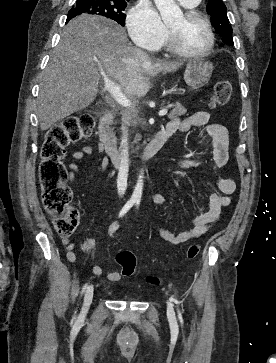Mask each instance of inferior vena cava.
Returning <instances> with one entry per match:
<instances>
[{
    "label": "inferior vena cava",
    "mask_w": 276,
    "mask_h": 363,
    "mask_svg": "<svg viewBox=\"0 0 276 363\" xmlns=\"http://www.w3.org/2000/svg\"><path fill=\"white\" fill-rule=\"evenodd\" d=\"M122 157L119 166V172L117 177V189L118 194L121 196L125 193L127 188V178H128V144H127V132H124V138L122 139Z\"/></svg>",
    "instance_id": "obj_1"
}]
</instances>
